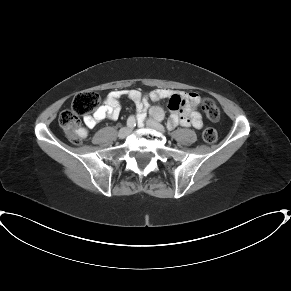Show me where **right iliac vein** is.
<instances>
[{
  "label": "right iliac vein",
  "mask_w": 291,
  "mask_h": 291,
  "mask_svg": "<svg viewBox=\"0 0 291 291\" xmlns=\"http://www.w3.org/2000/svg\"><path fill=\"white\" fill-rule=\"evenodd\" d=\"M131 133V129L129 128H122L120 129L119 133H118V137L121 138V139H124L126 138L129 134Z\"/></svg>",
  "instance_id": "obj_1"
}]
</instances>
